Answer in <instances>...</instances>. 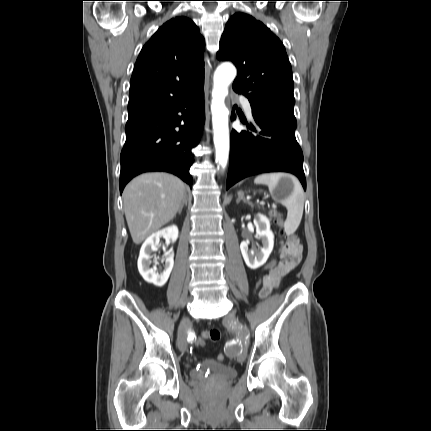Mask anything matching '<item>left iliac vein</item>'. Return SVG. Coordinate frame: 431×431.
<instances>
[{
  "label": "left iliac vein",
  "mask_w": 431,
  "mask_h": 431,
  "mask_svg": "<svg viewBox=\"0 0 431 431\" xmlns=\"http://www.w3.org/2000/svg\"><path fill=\"white\" fill-rule=\"evenodd\" d=\"M225 323L227 325H230V326H238L239 321L234 314L229 313L225 317ZM239 336L242 339V341L244 342V347H243L242 351L239 353V355L237 356V361L239 363H242L245 361L246 356H247L246 333L244 331H239Z\"/></svg>",
  "instance_id": "obj_1"
}]
</instances>
